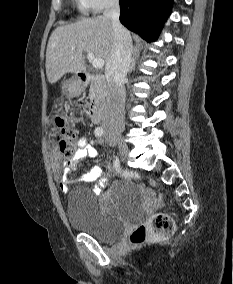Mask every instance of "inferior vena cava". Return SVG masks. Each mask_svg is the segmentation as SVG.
Listing matches in <instances>:
<instances>
[{
  "instance_id": "1",
  "label": "inferior vena cava",
  "mask_w": 233,
  "mask_h": 284,
  "mask_svg": "<svg viewBox=\"0 0 233 284\" xmlns=\"http://www.w3.org/2000/svg\"><path fill=\"white\" fill-rule=\"evenodd\" d=\"M103 16L112 22L114 42L105 68L108 87L102 127L107 133H116L124 129V82L130 70L132 40L129 31L119 21V0H108Z\"/></svg>"
}]
</instances>
